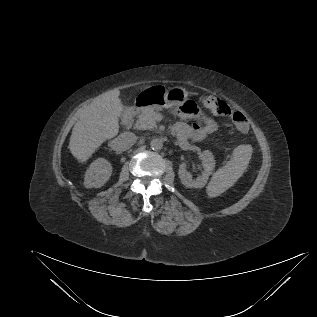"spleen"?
Instances as JSON below:
<instances>
[{
    "label": "spleen",
    "mask_w": 317,
    "mask_h": 317,
    "mask_svg": "<svg viewBox=\"0 0 317 317\" xmlns=\"http://www.w3.org/2000/svg\"><path fill=\"white\" fill-rule=\"evenodd\" d=\"M252 155L250 145H239L234 149L231 159L227 164L219 168L212 176L207 188V195L217 197L241 177L247 168Z\"/></svg>",
    "instance_id": "3e777b00"
}]
</instances>
